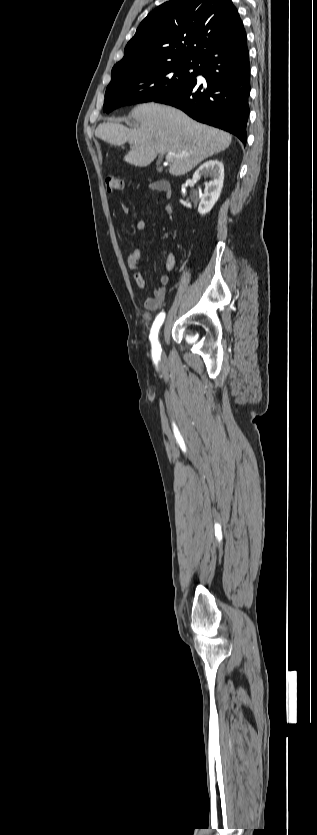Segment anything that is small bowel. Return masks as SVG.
Listing matches in <instances>:
<instances>
[{
  "label": "small bowel",
  "mask_w": 317,
  "mask_h": 835,
  "mask_svg": "<svg viewBox=\"0 0 317 835\" xmlns=\"http://www.w3.org/2000/svg\"><path fill=\"white\" fill-rule=\"evenodd\" d=\"M160 181L155 182L151 185L152 189L157 191L163 192L160 189ZM166 195V194H165ZM125 212H127V208H123ZM163 210L167 214L172 213V207L168 204L163 206ZM147 223L145 220H139L136 224L137 232H143L146 229ZM140 263H141V248L139 246H135L133 250L127 256V265L129 269L133 272V278L137 285V287L141 290L146 288V281L143 275L140 272ZM176 265V258L175 255L170 253L167 256L165 262V273L161 276L159 281V286L154 290L153 295L146 298L144 302V307L148 311H156L161 308L166 300L167 295V285L169 283L170 277L169 274L172 272Z\"/></svg>",
  "instance_id": "1"
}]
</instances>
